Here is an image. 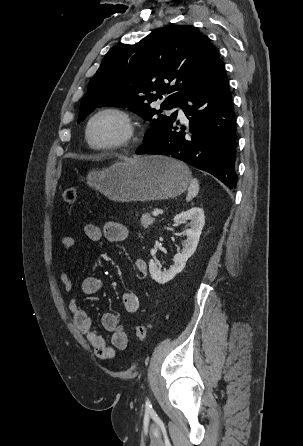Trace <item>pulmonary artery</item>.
Masks as SVG:
<instances>
[{"mask_svg":"<svg viewBox=\"0 0 303 446\" xmlns=\"http://www.w3.org/2000/svg\"><path fill=\"white\" fill-rule=\"evenodd\" d=\"M176 110H177L178 116L180 118H182V119L185 118L184 111H183V109L180 106L176 107Z\"/></svg>","mask_w":303,"mask_h":446,"instance_id":"obj_1","label":"pulmonary artery"}]
</instances>
